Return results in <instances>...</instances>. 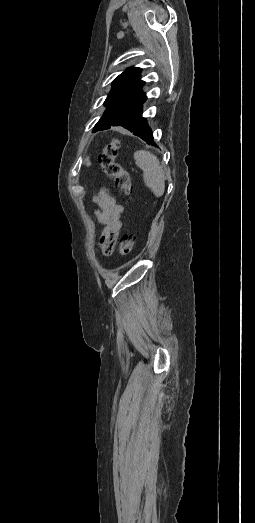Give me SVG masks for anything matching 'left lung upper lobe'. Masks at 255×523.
<instances>
[{"instance_id": "1", "label": "left lung upper lobe", "mask_w": 255, "mask_h": 523, "mask_svg": "<svg viewBox=\"0 0 255 523\" xmlns=\"http://www.w3.org/2000/svg\"><path fill=\"white\" fill-rule=\"evenodd\" d=\"M140 72V68H129L116 77L104 102L106 110L93 132L109 129L111 126H123L137 136L152 134L147 130H153V127H149L146 118L142 117V107L147 97L141 90L145 82L140 80ZM150 125L153 123L150 122ZM152 146L156 147V143Z\"/></svg>"}]
</instances>
